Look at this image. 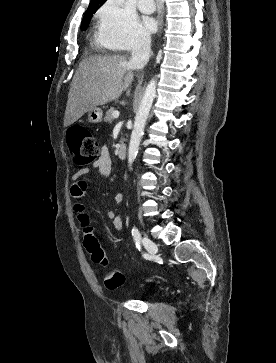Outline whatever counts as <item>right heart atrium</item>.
Listing matches in <instances>:
<instances>
[{
  "label": "right heart atrium",
  "mask_w": 276,
  "mask_h": 363,
  "mask_svg": "<svg viewBox=\"0 0 276 363\" xmlns=\"http://www.w3.org/2000/svg\"><path fill=\"white\" fill-rule=\"evenodd\" d=\"M98 18L100 37L115 48L127 50L147 44L148 34L124 0H107Z\"/></svg>",
  "instance_id": "obj_1"
}]
</instances>
